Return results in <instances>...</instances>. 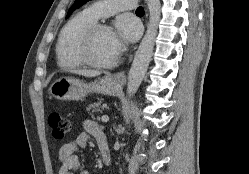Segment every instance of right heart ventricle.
<instances>
[{
  "mask_svg": "<svg viewBox=\"0 0 249 174\" xmlns=\"http://www.w3.org/2000/svg\"><path fill=\"white\" fill-rule=\"evenodd\" d=\"M89 15L84 12L71 18L61 31L56 54L58 64L62 68L74 69L83 66L78 47L85 31L95 24Z\"/></svg>",
  "mask_w": 249,
  "mask_h": 174,
  "instance_id": "1",
  "label": "right heart ventricle"
}]
</instances>
